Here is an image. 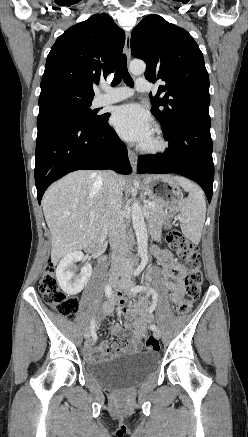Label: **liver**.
Listing matches in <instances>:
<instances>
[{"label": "liver", "mask_w": 248, "mask_h": 437, "mask_svg": "<svg viewBox=\"0 0 248 437\" xmlns=\"http://www.w3.org/2000/svg\"><path fill=\"white\" fill-rule=\"evenodd\" d=\"M118 182L123 190L124 176L118 175ZM42 207L51 232V259L57 264L67 254L91 246L103 229V173L80 170L68 174L46 191ZM91 213L95 216L91 217Z\"/></svg>", "instance_id": "6515ba94"}]
</instances>
